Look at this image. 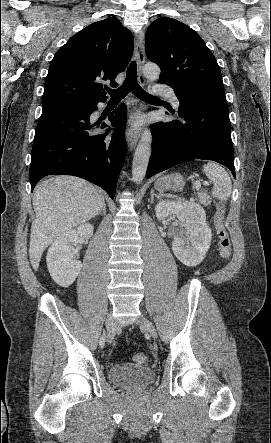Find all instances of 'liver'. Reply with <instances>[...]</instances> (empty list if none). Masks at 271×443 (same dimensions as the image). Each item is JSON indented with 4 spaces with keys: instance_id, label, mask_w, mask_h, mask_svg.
<instances>
[{
    "instance_id": "1",
    "label": "liver",
    "mask_w": 271,
    "mask_h": 443,
    "mask_svg": "<svg viewBox=\"0 0 271 443\" xmlns=\"http://www.w3.org/2000/svg\"><path fill=\"white\" fill-rule=\"evenodd\" d=\"M105 204L101 190L74 178L54 176L39 182L33 196L35 220L29 241L30 263L37 271L46 247L65 231L95 218Z\"/></svg>"
}]
</instances>
